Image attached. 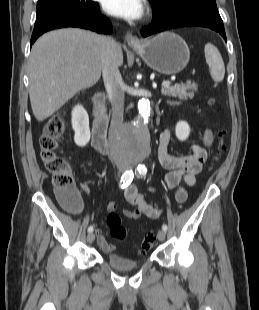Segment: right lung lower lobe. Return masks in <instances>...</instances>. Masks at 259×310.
Wrapping results in <instances>:
<instances>
[{"instance_id": "1", "label": "right lung lower lobe", "mask_w": 259, "mask_h": 310, "mask_svg": "<svg viewBox=\"0 0 259 310\" xmlns=\"http://www.w3.org/2000/svg\"><path fill=\"white\" fill-rule=\"evenodd\" d=\"M62 27H79L98 33L112 32L110 20L101 15L98 3L93 2L86 10L76 13L52 14L40 21H36L31 37V44L43 33Z\"/></svg>"}]
</instances>
